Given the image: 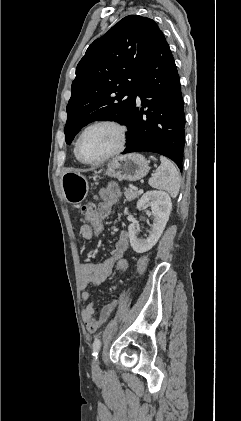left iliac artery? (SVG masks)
<instances>
[{
	"label": "left iliac artery",
	"mask_w": 241,
	"mask_h": 421,
	"mask_svg": "<svg viewBox=\"0 0 241 421\" xmlns=\"http://www.w3.org/2000/svg\"><path fill=\"white\" fill-rule=\"evenodd\" d=\"M101 347V341L99 338H96L93 342V356L97 358L98 352Z\"/></svg>",
	"instance_id": "44dca946"
}]
</instances>
